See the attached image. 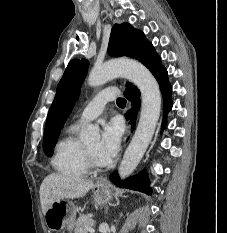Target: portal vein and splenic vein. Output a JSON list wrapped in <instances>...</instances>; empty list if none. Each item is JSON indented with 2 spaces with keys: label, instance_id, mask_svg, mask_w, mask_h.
I'll list each match as a JSON object with an SVG mask.
<instances>
[{
  "label": "portal vein and splenic vein",
  "instance_id": "portal-vein-and-splenic-vein-1",
  "mask_svg": "<svg viewBox=\"0 0 227 233\" xmlns=\"http://www.w3.org/2000/svg\"><path fill=\"white\" fill-rule=\"evenodd\" d=\"M87 231H89V232H94V229H93L92 227H88V228H87Z\"/></svg>",
  "mask_w": 227,
  "mask_h": 233
}]
</instances>
